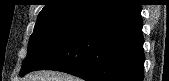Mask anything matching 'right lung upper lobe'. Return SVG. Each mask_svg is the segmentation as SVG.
Here are the masks:
<instances>
[{
    "label": "right lung upper lobe",
    "mask_w": 169,
    "mask_h": 81,
    "mask_svg": "<svg viewBox=\"0 0 169 81\" xmlns=\"http://www.w3.org/2000/svg\"><path fill=\"white\" fill-rule=\"evenodd\" d=\"M125 0H47L37 20L55 16H77L87 20Z\"/></svg>",
    "instance_id": "1"
}]
</instances>
